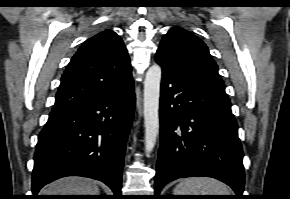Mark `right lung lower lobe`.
<instances>
[{
	"mask_svg": "<svg viewBox=\"0 0 290 199\" xmlns=\"http://www.w3.org/2000/svg\"><path fill=\"white\" fill-rule=\"evenodd\" d=\"M135 108L133 81L122 91L52 109L38 136L32 199L46 184L65 176L100 180L121 196L126 141Z\"/></svg>",
	"mask_w": 290,
	"mask_h": 199,
	"instance_id": "right-lung-lower-lobe-1",
	"label": "right lung lower lobe"
}]
</instances>
